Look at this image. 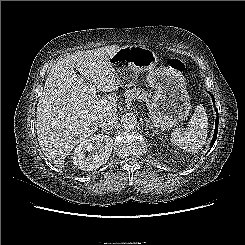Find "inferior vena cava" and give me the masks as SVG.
<instances>
[{
  "label": "inferior vena cava",
  "instance_id": "602c4592",
  "mask_svg": "<svg viewBox=\"0 0 245 245\" xmlns=\"http://www.w3.org/2000/svg\"><path fill=\"white\" fill-rule=\"evenodd\" d=\"M118 123V115L116 113H108L99 122V127L105 130L113 129Z\"/></svg>",
  "mask_w": 245,
  "mask_h": 245
}]
</instances>
